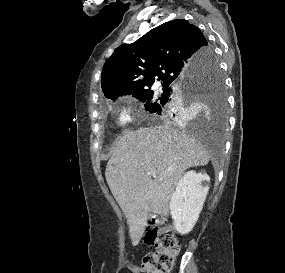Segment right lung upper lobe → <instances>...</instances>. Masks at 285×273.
<instances>
[{"mask_svg": "<svg viewBox=\"0 0 285 273\" xmlns=\"http://www.w3.org/2000/svg\"><path fill=\"white\" fill-rule=\"evenodd\" d=\"M210 51L197 26L183 19L166 22L114 51L102 70L103 93L115 100L120 95L147 90L146 87L150 88L157 80L169 86L194 71Z\"/></svg>", "mask_w": 285, "mask_h": 273, "instance_id": "right-lung-upper-lobe-1", "label": "right lung upper lobe"}]
</instances>
